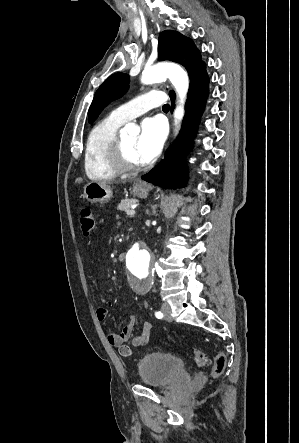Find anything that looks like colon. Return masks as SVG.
Returning a JSON list of instances; mask_svg holds the SVG:
<instances>
[{
  "label": "colon",
  "mask_w": 299,
  "mask_h": 443,
  "mask_svg": "<svg viewBox=\"0 0 299 443\" xmlns=\"http://www.w3.org/2000/svg\"><path fill=\"white\" fill-rule=\"evenodd\" d=\"M78 219L83 235L90 236L95 229V220L91 210L88 208L82 209L78 214ZM193 358L199 366H204L210 363L208 356L199 350L194 351ZM225 366L226 356L223 352L219 351L214 358L212 376L214 378L220 377L224 372Z\"/></svg>",
  "instance_id": "5ec220e1"
}]
</instances>
